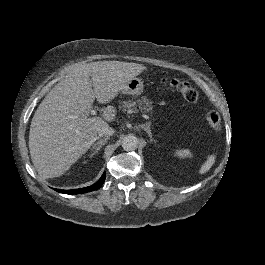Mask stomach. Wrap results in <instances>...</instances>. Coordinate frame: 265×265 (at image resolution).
I'll list each match as a JSON object with an SVG mask.
<instances>
[{
    "instance_id": "stomach-1",
    "label": "stomach",
    "mask_w": 265,
    "mask_h": 265,
    "mask_svg": "<svg viewBox=\"0 0 265 265\" xmlns=\"http://www.w3.org/2000/svg\"><path fill=\"white\" fill-rule=\"evenodd\" d=\"M143 90V83L138 78H130L126 80L119 89L121 94L139 95Z\"/></svg>"
}]
</instances>
